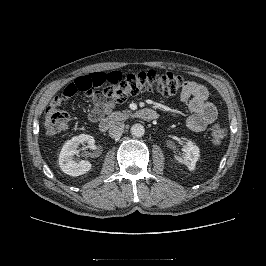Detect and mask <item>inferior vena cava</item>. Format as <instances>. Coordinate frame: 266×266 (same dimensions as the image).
Listing matches in <instances>:
<instances>
[{"instance_id":"1","label":"inferior vena cava","mask_w":266,"mask_h":266,"mask_svg":"<svg viewBox=\"0 0 266 266\" xmlns=\"http://www.w3.org/2000/svg\"><path fill=\"white\" fill-rule=\"evenodd\" d=\"M124 131V123L116 122L109 129V135L111 138H120Z\"/></svg>"}]
</instances>
